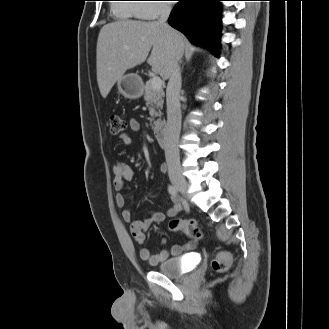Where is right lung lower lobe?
I'll use <instances>...</instances> for the list:
<instances>
[{"instance_id":"98d812e1","label":"right lung lower lobe","mask_w":329,"mask_h":329,"mask_svg":"<svg viewBox=\"0 0 329 329\" xmlns=\"http://www.w3.org/2000/svg\"><path fill=\"white\" fill-rule=\"evenodd\" d=\"M168 22L194 44L209 49L216 56L219 49V1L178 0Z\"/></svg>"}]
</instances>
